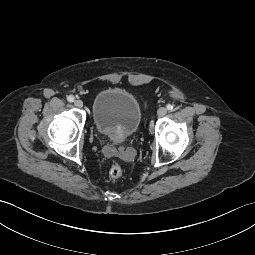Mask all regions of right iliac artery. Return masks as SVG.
<instances>
[{
  "label": "right iliac artery",
  "instance_id": "82829eb1",
  "mask_svg": "<svg viewBox=\"0 0 255 255\" xmlns=\"http://www.w3.org/2000/svg\"><path fill=\"white\" fill-rule=\"evenodd\" d=\"M68 102H74V97L72 95L67 97Z\"/></svg>",
  "mask_w": 255,
  "mask_h": 255
}]
</instances>
